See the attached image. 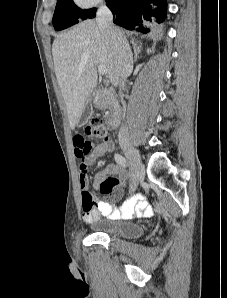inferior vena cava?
I'll return each mask as SVG.
<instances>
[{"instance_id":"1","label":"inferior vena cava","mask_w":227,"mask_h":298,"mask_svg":"<svg viewBox=\"0 0 227 298\" xmlns=\"http://www.w3.org/2000/svg\"><path fill=\"white\" fill-rule=\"evenodd\" d=\"M96 22L99 28L110 35L114 44V53L116 59V71L119 77L120 87H124L127 76L133 70V57L126 38L114 27L113 15L110 9L102 4L96 14ZM127 137V131L124 126L119 131L118 138L124 140Z\"/></svg>"}]
</instances>
